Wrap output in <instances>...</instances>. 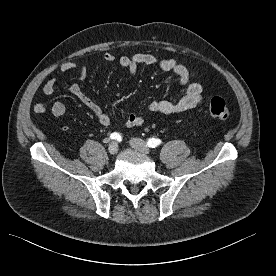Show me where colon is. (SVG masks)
Here are the masks:
<instances>
[{"label": "colon", "instance_id": "colon-1", "mask_svg": "<svg viewBox=\"0 0 276 276\" xmlns=\"http://www.w3.org/2000/svg\"><path fill=\"white\" fill-rule=\"evenodd\" d=\"M209 112L212 117L222 121L227 120L230 115L226 101L218 96H215L210 100Z\"/></svg>", "mask_w": 276, "mask_h": 276}]
</instances>
